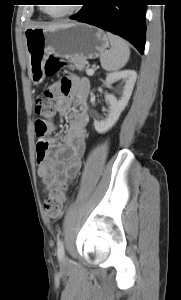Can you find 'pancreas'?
I'll return each mask as SVG.
<instances>
[{
	"label": "pancreas",
	"instance_id": "1",
	"mask_svg": "<svg viewBox=\"0 0 181 300\" xmlns=\"http://www.w3.org/2000/svg\"><path fill=\"white\" fill-rule=\"evenodd\" d=\"M70 62L73 63L74 67H76V69H78L80 71H82L85 68L86 62H84L80 59L72 58V59H70Z\"/></svg>",
	"mask_w": 181,
	"mask_h": 300
}]
</instances>
